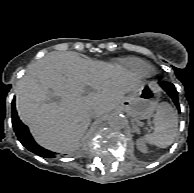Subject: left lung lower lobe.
Here are the masks:
<instances>
[{"label": "left lung lower lobe", "mask_w": 194, "mask_h": 193, "mask_svg": "<svg viewBox=\"0 0 194 193\" xmlns=\"http://www.w3.org/2000/svg\"><path fill=\"white\" fill-rule=\"evenodd\" d=\"M159 83L162 86V88L167 92V94L172 98L178 110H180L179 103H178V97H177V91L174 85L172 83L165 82V81H160Z\"/></svg>", "instance_id": "0a47b994"}]
</instances>
